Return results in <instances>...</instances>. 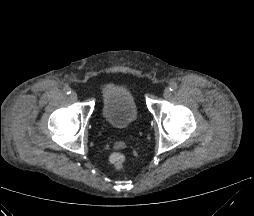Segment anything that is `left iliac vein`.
Wrapping results in <instances>:
<instances>
[{"instance_id": "obj_1", "label": "left iliac vein", "mask_w": 254, "mask_h": 216, "mask_svg": "<svg viewBox=\"0 0 254 216\" xmlns=\"http://www.w3.org/2000/svg\"><path fill=\"white\" fill-rule=\"evenodd\" d=\"M171 95V91L169 88H165L164 91H163V96L165 98L169 97Z\"/></svg>"}]
</instances>
